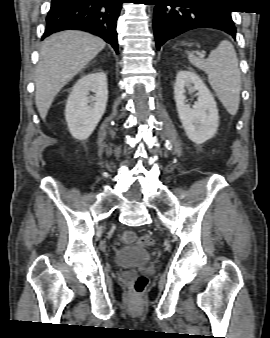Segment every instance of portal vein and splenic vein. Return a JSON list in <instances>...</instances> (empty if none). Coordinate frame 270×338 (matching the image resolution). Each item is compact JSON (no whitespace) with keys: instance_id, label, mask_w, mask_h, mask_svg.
<instances>
[{"instance_id":"18ae733b","label":"portal vein and splenic vein","mask_w":270,"mask_h":338,"mask_svg":"<svg viewBox=\"0 0 270 338\" xmlns=\"http://www.w3.org/2000/svg\"><path fill=\"white\" fill-rule=\"evenodd\" d=\"M200 57L203 59V58H205V55L204 54H200Z\"/></svg>"}]
</instances>
